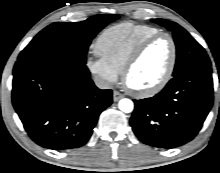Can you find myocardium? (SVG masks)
I'll return each mask as SVG.
<instances>
[{
  "label": "myocardium",
  "mask_w": 220,
  "mask_h": 173,
  "mask_svg": "<svg viewBox=\"0 0 220 173\" xmlns=\"http://www.w3.org/2000/svg\"><path fill=\"white\" fill-rule=\"evenodd\" d=\"M162 37L167 38L170 42V45H171L170 63H169V66H168L165 74L155 85H153L152 87H150L148 89L136 90V89L130 87L127 82L128 75H129L130 71L135 66V64L138 62V60L140 59V57L142 56V54L144 53L146 48L151 43H153L154 41H156L157 39L162 38ZM176 63H177V46H176V42H175L174 38L172 37L171 34H169L167 32H158L156 34H153V35L147 37L143 41H141L136 46V48L134 49L132 54L129 56V58L127 59L125 65L123 67V70H122L123 84H124L125 88L132 95H134L138 98L152 97V96L158 94L160 91H162L167 86V84L170 82V80L173 76V73L175 71Z\"/></svg>",
  "instance_id": "obj_1"
}]
</instances>
